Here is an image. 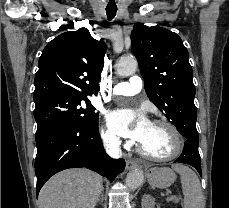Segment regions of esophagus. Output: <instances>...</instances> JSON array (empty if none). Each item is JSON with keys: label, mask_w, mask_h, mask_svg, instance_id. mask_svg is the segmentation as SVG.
Here are the masks:
<instances>
[{"label": "esophagus", "mask_w": 229, "mask_h": 208, "mask_svg": "<svg viewBox=\"0 0 229 208\" xmlns=\"http://www.w3.org/2000/svg\"><path fill=\"white\" fill-rule=\"evenodd\" d=\"M138 166L137 161L133 160V159H128L126 160V168L127 170H134V168H136Z\"/></svg>", "instance_id": "34e87169"}]
</instances>
